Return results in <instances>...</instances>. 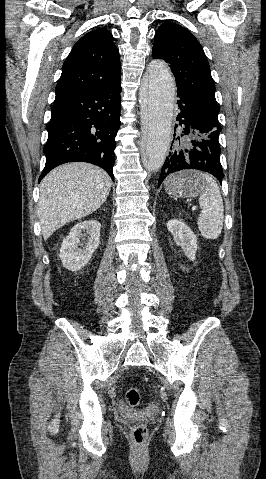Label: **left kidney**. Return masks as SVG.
<instances>
[{
    "label": "left kidney",
    "mask_w": 266,
    "mask_h": 479,
    "mask_svg": "<svg viewBox=\"0 0 266 479\" xmlns=\"http://www.w3.org/2000/svg\"><path fill=\"white\" fill-rule=\"evenodd\" d=\"M167 229L173 235L175 243L181 246L184 254L190 260H194L197 252V237L192 230L177 219L169 220Z\"/></svg>",
    "instance_id": "1"
}]
</instances>
